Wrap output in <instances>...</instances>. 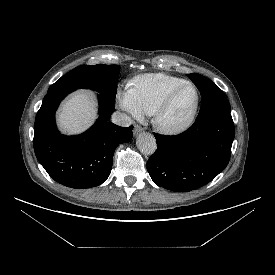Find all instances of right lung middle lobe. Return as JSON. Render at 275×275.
I'll list each match as a JSON object with an SVG mask.
<instances>
[{"instance_id": "right-lung-middle-lobe-1", "label": "right lung middle lobe", "mask_w": 275, "mask_h": 275, "mask_svg": "<svg viewBox=\"0 0 275 275\" xmlns=\"http://www.w3.org/2000/svg\"><path fill=\"white\" fill-rule=\"evenodd\" d=\"M119 69L118 65L102 64L76 67L56 81L47 94L85 88L95 90L110 101H114Z\"/></svg>"}]
</instances>
